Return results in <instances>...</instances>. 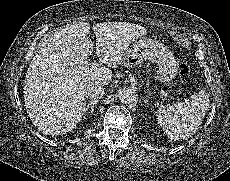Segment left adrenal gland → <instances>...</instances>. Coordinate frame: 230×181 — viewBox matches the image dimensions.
<instances>
[{"label": "left adrenal gland", "instance_id": "obj_1", "mask_svg": "<svg viewBox=\"0 0 230 181\" xmlns=\"http://www.w3.org/2000/svg\"><path fill=\"white\" fill-rule=\"evenodd\" d=\"M149 95H147V99L145 100V103L147 104V105H149Z\"/></svg>", "mask_w": 230, "mask_h": 181}]
</instances>
